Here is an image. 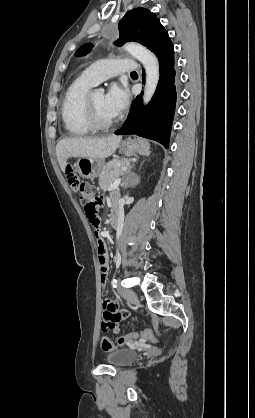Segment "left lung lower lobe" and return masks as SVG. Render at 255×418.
<instances>
[{
    "label": "left lung lower lobe",
    "instance_id": "1",
    "mask_svg": "<svg viewBox=\"0 0 255 418\" xmlns=\"http://www.w3.org/2000/svg\"><path fill=\"white\" fill-rule=\"evenodd\" d=\"M156 56L159 61L160 79L151 102L143 108L142 94L138 95L132 104L127 120L115 134H136L155 140L168 148L175 111L177 82L174 46L170 39L165 42Z\"/></svg>",
    "mask_w": 255,
    "mask_h": 418
}]
</instances>
